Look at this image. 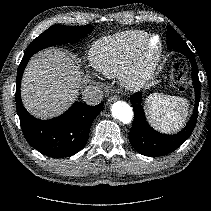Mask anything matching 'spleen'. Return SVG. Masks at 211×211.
Masks as SVG:
<instances>
[{
    "label": "spleen",
    "instance_id": "spleen-1",
    "mask_svg": "<svg viewBox=\"0 0 211 211\" xmlns=\"http://www.w3.org/2000/svg\"><path fill=\"white\" fill-rule=\"evenodd\" d=\"M145 110L154 128L170 133L184 126L188 102L178 96L154 93L146 98Z\"/></svg>",
    "mask_w": 211,
    "mask_h": 211
}]
</instances>
